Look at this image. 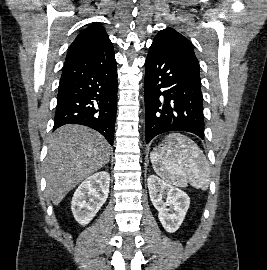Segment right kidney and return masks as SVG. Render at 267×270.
<instances>
[{"label":"right kidney","mask_w":267,"mask_h":270,"mask_svg":"<svg viewBox=\"0 0 267 270\" xmlns=\"http://www.w3.org/2000/svg\"><path fill=\"white\" fill-rule=\"evenodd\" d=\"M110 185V175L106 171L97 172L86 178L75 191L71 209L80 225H87L105 203Z\"/></svg>","instance_id":"right-kidney-1"}]
</instances>
